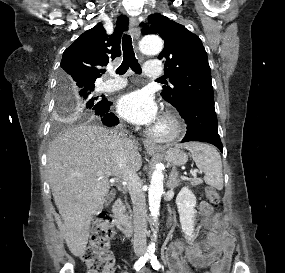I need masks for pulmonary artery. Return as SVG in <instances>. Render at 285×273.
Instances as JSON below:
<instances>
[{"label":"pulmonary artery","mask_w":285,"mask_h":273,"mask_svg":"<svg viewBox=\"0 0 285 273\" xmlns=\"http://www.w3.org/2000/svg\"><path fill=\"white\" fill-rule=\"evenodd\" d=\"M144 72L147 76L157 78L163 74V69L157 61L146 62L144 66ZM127 85V81L124 79L115 78L113 70L108 71V78L104 80L99 86L98 90L112 92L122 89Z\"/></svg>","instance_id":"pulmonary-artery-1"}]
</instances>
